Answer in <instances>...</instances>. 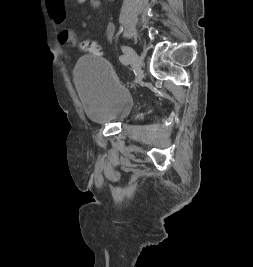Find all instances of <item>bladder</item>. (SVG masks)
I'll list each match as a JSON object with an SVG mask.
<instances>
[{
    "label": "bladder",
    "instance_id": "31cf9c89",
    "mask_svg": "<svg viewBox=\"0 0 253 267\" xmlns=\"http://www.w3.org/2000/svg\"><path fill=\"white\" fill-rule=\"evenodd\" d=\"M74 79L84 113L94 123H110L131 106V92L100 56L82 57L74 69Z\"/></svg>",
    "mask_w": 253,
    "mask_h": 267
}]
</instances>
